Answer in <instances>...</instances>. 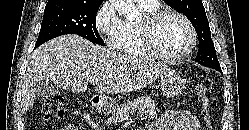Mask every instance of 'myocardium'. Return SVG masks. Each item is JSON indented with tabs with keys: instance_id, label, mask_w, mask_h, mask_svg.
<instances>
[{
	"instance_id": "obj_1",
	"label": "myocardium",
	"mask_w": 249,
	"mask_h": 130,
	"mask_svg": "<svg viewBox=\"0 0 249 130\" xmlns=\"http://www.w3.org/2000/svg\"><path fill=\"white\" fill-rule=\"evenodd\" d=\"M167 16H174L181 19L187 26L190 34V41L187 48L178 55H167L156 45L155 30L162 19ZM141 37L147 53L164 62L175 63L186 59L197 45V32L191 20L183 13L173 9H157L147 13L144 20L140 23Z\"/></svg>"
}]
</instances>
